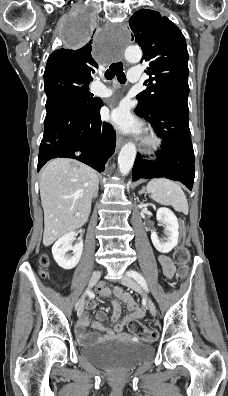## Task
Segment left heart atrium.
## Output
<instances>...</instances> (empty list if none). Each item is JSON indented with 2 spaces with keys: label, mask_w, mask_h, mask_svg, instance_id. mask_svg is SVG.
<instances>
[{
  "label": "left heart atrium",
  "mask_w": 228,
  "mask_h": 396,
  "mask_svg": "<svg viewBox=\"0 0 228 396\" xmlns=\"http://www.w3.org/2000/svg\"><path fill=\"white\" fill-rule=\"evenodd\" d=\"M109 120L121 131L137 132L140 125L131 115L127 103H122L115 108L109 116Z\"/></svg>",
  "instance_id": "1"
}]
</instances>
